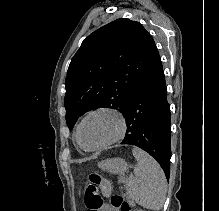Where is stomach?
<instances>
[{
	"mask_svg": "<svg viewBox=\"0 0 219 211\" xmlns=\"http://www.w3.org/2000/svg\"><path fill=\"white\" fill-rule=\"evenodd\" d=\"M98 167L113 174H124L128 169V165L125 160L121 158L106 159L98 163Z\"/></svg>",
	"mask_w": 219,
	"mask_h": 211,
	"instance_id": "stomach-1",
	"label": "stomach"
}]
</instances>
